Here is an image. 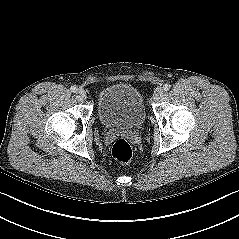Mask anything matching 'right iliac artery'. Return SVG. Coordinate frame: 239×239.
I'll return each instance as SVG.
<instances>
[{
  "instance_id": "82829eb1",
  "label": "right iliac artery",
  "mask_w": 239,
  "mask_h": 239,
  "mask_svg": "<svg viewBox=\"0 0 239 239\" xmlns=\"http://www.w3.org/2000/svg\"><path fill=\"white\" fill-rule=\"evenodd\" d=\"M70 90L71 92L76 93L78 89L76 86H71Z\"/></svg>"
}]
</instances>
